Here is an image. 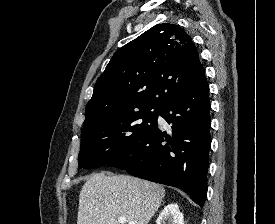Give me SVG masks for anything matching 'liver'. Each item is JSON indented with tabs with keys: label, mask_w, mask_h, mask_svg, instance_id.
Segmentation results:
<instances>
[{
	"label": "liver",
	"mask_w": 275,
	"mask_h": 224,
	"mask_svg": "<svg viewBox=\"0 0 275 224\" xmlns=\"http://www.w3.org/2000/svg\"><path fill=\"white\" fill-rule=\"evenodd\" d=\"M165 196L161 185L128 175H92L79 195L77 224H148Z\"/></svg>",
	"instance_id": "obj_1"
}]
</instances>
